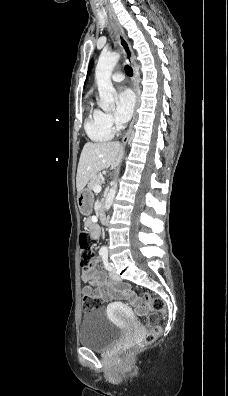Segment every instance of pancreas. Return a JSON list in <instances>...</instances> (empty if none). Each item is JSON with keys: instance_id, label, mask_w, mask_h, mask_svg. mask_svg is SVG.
Wrapping results in <instances>:
<instances>
[{"instance_id": "obj_1", "label": "pancreas", "mask_w": 228, "mask_h": 396, "mask_svg": "<svg viewBox=\"0 0 228 396\" xmlns=\"http://www.w3.org/2000/svg\"><path fill=\"white\" fill-rule=\"evenodd\" d=\"M102 180L101 175L94 176L88 183V189L94 190L95 185L99 184Z\"/></svg>"}]
</instances>
